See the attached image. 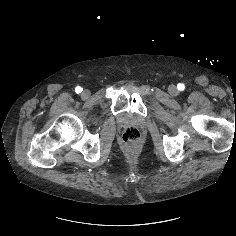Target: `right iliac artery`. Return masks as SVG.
Here are the masks:
<instances>
[{
	"mask_svg": "<svg viewBox=\"0 0 236 236\" xmlns=\"http://www.w3.org/2000/svg\"><path fill=\"white\" fill-rule=\"evenodd\" d=\"M82 90H83V88L80 87V86H77V87L75 88V92H76L77 94L81 93Z\"/></svg>",
	"mask_w": 236,
	"mask_h": 236,
	"instance_id": "right-iliac-artery-1",
	"label": "right iliac artery"
}]
</instances>
